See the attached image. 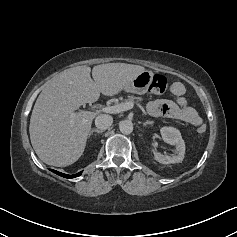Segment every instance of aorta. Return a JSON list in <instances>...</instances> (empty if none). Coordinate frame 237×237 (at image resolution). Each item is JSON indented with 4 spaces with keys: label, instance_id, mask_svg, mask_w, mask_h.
I'll return each instance as SVG.
<instances>
[{
    "label": "aorta",
    "instance_id": "1",
    "mask_svg": "<svg viewBox=\"0 0 237 237\" xmlns=\"http://www.w3.org/2000/svg\"><path fill=\"white\" fill-rule=\"evenodd\" d=\"M119 129L122 134H130L133 131V123L129 120H123L119 123Z\"/></svg>",
    "mask_w": 237,
    "mask_h": 237
}]
</instances>
